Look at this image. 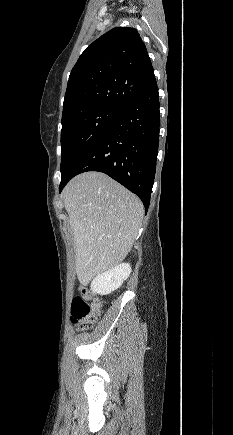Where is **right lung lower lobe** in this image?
<instances>
[{
	"instance_id": "98d812e1",
	"label": "right lung lower lobe",
	"mask_w": 233,
	"mask_h": 435,
	"mask_svg": "<svg viewBox=\"0 0 233 435\" xmlns=\"http://www.w3.org/2000/svg\"><path fill=\"white\" fill-rule=\"evenodd\" d=\"M159 107L155 79L120 110L106 130L61 179L59 192L77 174L99 171L138 195L147 211L158 154Z\"/></svg>"
}]
</instances>
